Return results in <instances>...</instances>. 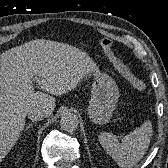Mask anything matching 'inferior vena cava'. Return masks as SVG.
I'll list each match as a JSON object with an SVG mask.
<instances>
[{"mask_svg":"<svg viewBox=\"0 0 168 168\" xmlns=\"http://www.w3.org/2000/svg\"><path fill=\"white\" fill-rule=\"evenodd\" d=\"M27 115H28V118H29L30 120H32L33 122H35V121H40V120H42L44 117L47 116L44 111H42V110H40V109H35V108L29 110L28 113H27Z\"/></svg>","mask_w":168,"mask_h":168,"instance_id":"1","label":"inferior vena cava"}]
</instances>
